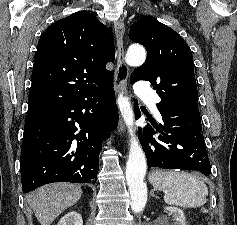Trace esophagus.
I'll use <instances>...</instances> for the list:
<instances>
[{"instance_id":"34e87169","label":"esophagus","mask_w":237,"mask_h":225,"mask_svg":"<svg viewBox=\"0 0 237 225\" xmlns=\"http://www.w3.org/2000/svg\"><path fill=\"white\" fill-rule=\"evenodd\" d=\"M114 31L117 43V64L115 68V81L114 86L117 91L125 88L127 79L129 76V69L124 61V45L123 37L125 33V26L122 20H118L114 23ZM125 127L121 120L118 126V132L124 134Z\"/></svg>"}]
</instances>
